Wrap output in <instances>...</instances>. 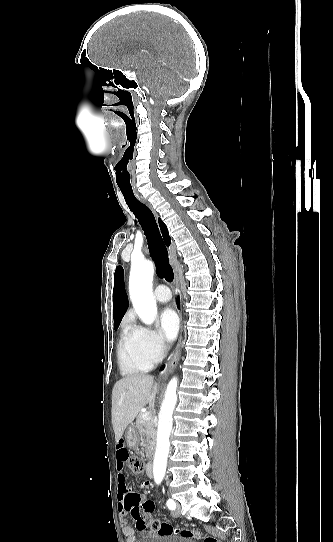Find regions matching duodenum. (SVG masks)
<instances>
[{"instance_id":"1","label":"duodenum","mask_w":333,"mask_h":542,"mask_svg":"<svg viewBox=\"0 0 333 542\" xmlns=\"http://www.w3.org/2000/svg\"><path fill=\"white\" fill-rule=\"evenodd\" d=\"M153 470H154L153 461L150 460L146 464V473H147L148 477L153 476Z\"/></svg>"}]
</instances>
